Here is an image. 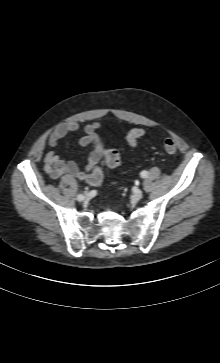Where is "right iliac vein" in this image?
<instances>
[{"mask_svg":"<svg viewBox=\"0 0 220 363\" xmlns=\"http://www.w3.org/2000/svg\"><path fill=\"white\" fill-rule=\"evenodd\" d=\"M84 198H88V194Z\"/></svg>","mask_w":220,"mask_h":363,"instance_id":"63e3f726","label":"right iliac vein"}]
</instances>
